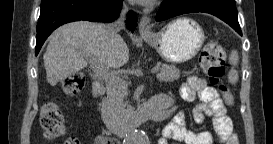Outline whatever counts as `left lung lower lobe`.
Returning a JSON list of instances; mask_svg holds the SVG:
<instances>
[{"label": "left lung lower lobe", "mask_w": 273, "mask_h": 144, "mask_svg": "<svg viewBox=\"0 0 273 144\" xmlns=\"http://www.w3.org/2000/svg\"><path fill=\"white\" fill-rule=\"evenodd\" d=\"M190 12H205L215 15L242 35L235 0H163L156 21Z\"/></svg>", "instance_id": "left-lung-lower-lobe-1"}]
</instances>
